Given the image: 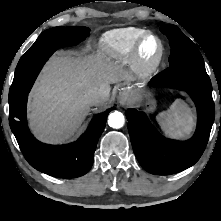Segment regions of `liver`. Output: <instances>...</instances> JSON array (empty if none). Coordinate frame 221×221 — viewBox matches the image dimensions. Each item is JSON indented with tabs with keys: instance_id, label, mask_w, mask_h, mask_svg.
Here are the masks:
<instances>
[{
	"instance_id": "obj_1",
	"label": "liver",
	"mask_w": 221,
	"mask_h": 221,
	"mask_svg": "<svg viewBox=\"0 0 221 221\" xmlns=\"http://www.w3.org/2000/svg\"><path fill=\"white\" fill-rule=\"evenodd\" d=\"M131 76L104 54L53 56L30 93L29 125L42 142L59 144L71 138L90 111L86 95L98 89L103 105L110 84L130 81Z\"/></svg>"
}]
</instances>
